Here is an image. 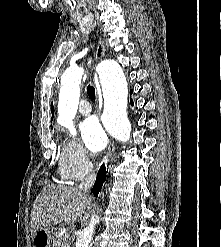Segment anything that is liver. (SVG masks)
Returning <instances> with one entry per match:
<instances>
[{
  "instance_id": "liver-1",
  "label": "liver",
  "mask_w": 221,
  "mask_h": 247,
  "mask_svg": "<svg viewBox=\"0 0 221 247\" xmlns=\"http://www.w3.org/2000/svg\"><path fill=\"white\" fill-rule=\"evenodd\" d=\"M90 205L85 192L77 187L49 185L43 188L33 204L31 235L40 229L64 222L73 225Z\"/></svg>"
}]
</instances>
